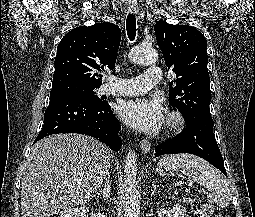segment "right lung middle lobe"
Masks as SVG:
<instances>
[{"instance_id": "right-lung-middle-lobe-1", "label": "right lung middle lobe", "mask_w": 255, "mask_h": 217, "mask_svg": "<svg viewBox=\"0 0 255 217\" xmlns=\"http://www.w3.org/2000/svg\"><path fill=\"white\" fill-rule=\"evenodd\" d=\"M98 87H89L78 84H66L56 87H52L50 96L57 94L73 95L80 97L88 102L95 104H105V101L101 100L94 91Z\"/></svg>"}]
</instances>
